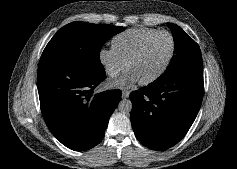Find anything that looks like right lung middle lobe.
I'll return each mask as SVG.
<instances>
[{
    "mask_svg": "<svg viewBox=\"0 0 237 169\" xmlns=\"http://www.w3.org/2000/svg\"><path fill=\"white\" fill-rule=\"evenodd\" d=\"M124 30L107 24L76 21L60 29L47 44L40 62L76 66H102L100 49L106 40Z\"/></svg>",
    "mask_w": 237,
    "mask_h": 169,
    "instance_id": "obj_1",
    "label": "right lung middle lobe"
}]
</instances>
